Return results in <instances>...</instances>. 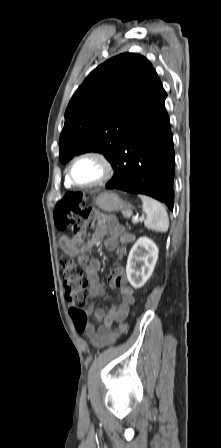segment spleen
Returning a JSON list of instances; mask_svg holds the SVG:
<instances>
[{"instance_id":"obj_1","label":"spleen","mask_w":221,"mask_h":448,"mask_svg":"<svg viewBox=\"0 0 221 448\" xmlns=\"http://www.w3.org/2000/svg\"><path fill=\"white\" fill-rule=\"evenodd\" d=\"M142 200V209L146 214L144 225L146 228L165 233L169 227L168 214L165 207L157 200L145 196L139 195Z\"/></svg>"}]
</instances>
